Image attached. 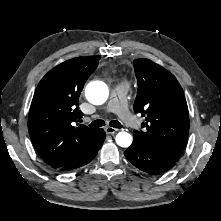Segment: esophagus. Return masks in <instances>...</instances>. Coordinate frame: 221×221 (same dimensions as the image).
I'll return each instance as SVG.
<instances>
[{
  "mask_svg": "<svg viewBox=\"0 0 221 221\" xmlns=\"http://www.w3.org/2000/svg\"><path fill=\"white\" fill-rule=\"evenodd\" d=\"M117 131H119V129H116V128H113V127H106L105 128V132L107 133V134H111V135H113V134H115Z\"/></svg>",
  "mask_w": 221,
  "mask_h": 221,
  "instance_id": "1",
  "label": "esophagus"
}]
</instances>
